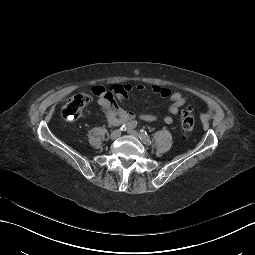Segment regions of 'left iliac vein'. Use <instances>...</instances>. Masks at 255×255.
Returning a JSON list of instances; mask_svg holds the SVG:
<instances>
[{
    "mask_svg": "<svg viewBox=\"0 0 255 255\" xmlns=\"http://www.w3.org/2000/svg\"><path fill=\"white\" fill-rule=\"evenodd\" d=\"M128 133L131 135V136H134V137H136V138H139V139H141V136H140V134L136 131V130H128ZM144 144H146V143H144ZM146 145H148V144H146Z\"/></svg>",
    "mask_w": 255,
    "mask_h": 255,
    "instance_id": "1",
    "label": "left iliac vein"
}]
</instances>
